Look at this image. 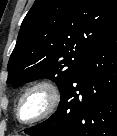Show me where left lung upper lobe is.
<instances>
[{
	"instance_id": "1",
	"label": "left lung upper lobe",
	"mask_w": 117,
	"mask_h": 136,
	"mask_svg": "<svg viewBox=\"0 0 117 136\" xmlns=\"http://www.w3.org/2000/svg\"><path fill=\"white\" fill-rule=\"evenodd\" d=\"M116 23V0H36L21 24L7 83L49 78L61 92Z\"/></svg>"
}]
</instances>
